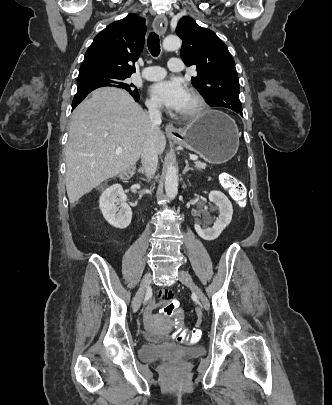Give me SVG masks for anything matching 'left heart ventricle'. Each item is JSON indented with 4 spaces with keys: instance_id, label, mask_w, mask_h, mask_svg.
<instances>
[{
    "instance_id": "1",
    "label": "left heart ventricle",
    "mask_w": 332,
    "mask_h": 405,
    "mask_svg": "<svg viewBox=\"0 0 332 405\" xmlns=\"http://www.w3.org/2000/svg\"><path fill=\"white\" fill-rule=\"evenodd\" d=\"M193 106H194L193 100L191 99L190 95H188L186 104H185L184 108L182 109L181 114L190 112L193 109Z\"/></svg>"
}]
</instances>
